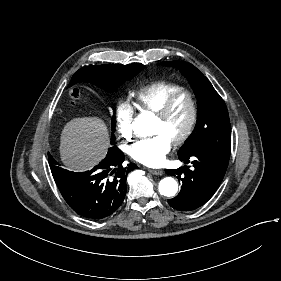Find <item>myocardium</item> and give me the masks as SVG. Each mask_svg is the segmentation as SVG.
<instances>
[{"label":"myocardium","instance_id":"myocardium-1","mask_svg":"<svg viewBox=\"0 0 281 281\" xmlns=\"http://www.w3.org/2000/svg\"><path fill=\"white\" fill-rule=\"evenodd\" d=\"M182 98L187 99V101L189 103L190 116H189V120H188V123H187L184 131L180 135L173 137L171 139V142L176 145L182 144L186 140H188V138L192 135L194 128L196 126L197 118H198V109H197V104H196V101H195V98L193 97V95L187 91H182V92L176 93V94L170 96L159 109H157L156 111L151 113V115L154 116L155 118H157L159 120H163L164 118L167 117V115L169 114L173 105L179 99H182Z\"/></svg>","mask_w":281,"mask_h":281}]
</instances>
